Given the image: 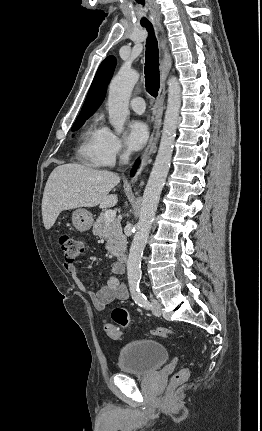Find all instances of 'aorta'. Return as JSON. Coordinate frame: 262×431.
<instances>
[{
    "label": "aorta",
    "mask_w": 262,
    "mask_h": 431,
    "mask_svg": "<svg viewBox=\"0 0 262 431\" xmlns=\"http://www.w3.org/2000/svg\"><path fill=\"white\" fill-rule=\"evenodd\" d=\"M138 79L139 73L129 65H124L110 83L107 102L109 121L118 134L122 133L129 115V99ZM180 106L181 87L177 78L171 77L168 81V100L160 146L144 190L137 231L127 260V275L130 286H136L141 279L142 255L171 165Z\"/></svg>",
    "instance_id": "obj_1"
}]
</instances>
